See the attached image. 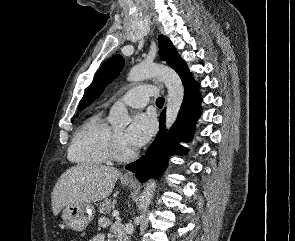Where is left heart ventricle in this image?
I'll use <instances>...</instances> for the list:
<instances>
[{"instance_id":"b2bd125f","label":"left heart ventricle","mask_w":295,"mask_h":241,"mask_svg":"<svg viewBox=\"0 0 295 241\" xmlns=\"http://www.w3.org/2000/svg\"><path fill=\"white\" fill-rule=\"evenodd\" d=\"M114 132H115V134H116L122 148L125 151H131L132 149L124 141L125 129L124 128L115 129Z\"/></svg>"}]
</instances>
